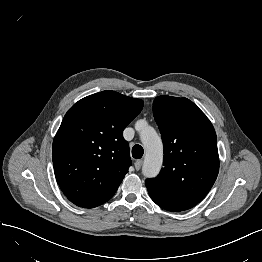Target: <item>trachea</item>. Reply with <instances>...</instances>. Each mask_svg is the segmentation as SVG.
<instances>
[{
    "label": "trachea",
    "instance_id": "1",
    "mask_svg": "<svg viewBox=\"0 0 262 262\" xmlns=\"http://www.w3.org/2000/svg\"><path fill=\"white\" fill-rule=\"evenodd\" d=\"M144 154V150L142 148V146L140 145H135L133 148H132V156L135 158V159H140Z\"/></svg>",
    "mask_w": 262,
    "mask_h": 262
}]
</instances>
